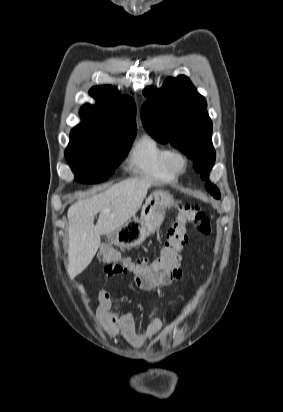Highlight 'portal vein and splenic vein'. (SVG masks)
I'll use <instances>...</instances> for the list:
<instances>
[{
  "instance_id": "1",
  "label": "portal vein and splenic vein",
  "mask_w": 283,
  "mask_h": 412,
  "mask_svg": "<svg viewBox=\"0 0 283 412\" xmlns=\"http://www.w3.org/2000/svg\"><path fill=\"white\" fill-rule=\"evenodd\" d=\"M103 212H104V213H110V212H111V209H105V210H103Z\"/></svg>"
}]
</instances>
